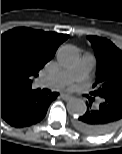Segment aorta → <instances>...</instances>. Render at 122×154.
I'll use <instances>...</instances> for the list:
<instances>
[{
	"label": "aorta",
	"instance_id": "obj_1",
	"mask_svg": "<svg viewBox=\"0 0 122 154\" xmlns=\"http://www.w3.org/2000/svg\"><path fill=\"white\" fill-rule=\"evenodd\" d=\"M78 58V50L72 45L62 46L57 51V60L62 66H72ZM67 111L74 116L83 115L86 112V104L80 98H72L67 102Z\"/></svg>",
	"mask_w": 122,
	"mask_h": 154
}]
</instances>
